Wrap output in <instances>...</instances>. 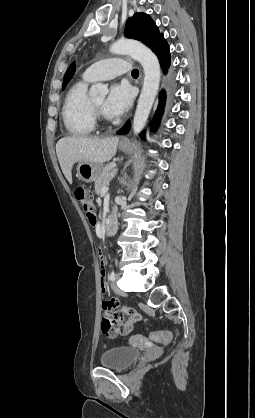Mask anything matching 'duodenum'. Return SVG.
Segmentation results:
<instances>
[{
  "mask_svg": "<svg viewBox=\"0 0 255 418\" xmlns=\"http://www.w3.org/2000/svg\"><path fill=\"white\" fill-rule=\"evenodd\" d=\"M117 230V217L115 212H112L108 218L106 219L105 225H104V231L105 232H115Z\"/></svg>",
  "mask_w": 255,
  "mask_h": 418,
  "instance_id": "duodenum-1",
  "label": "duodenum"
}]
</instances>
